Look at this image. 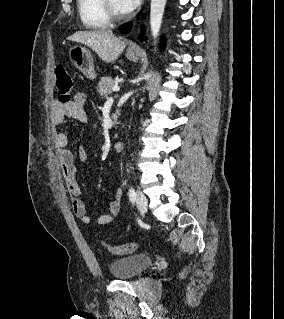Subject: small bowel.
I'll use <instances>...</instances> for the list:
<instances>
[{
    "mask_svg": "<svg viewBox=\"0 0 284 319\" xmlns=\"http://www.w3.org/2000/svg\"><path fill=\"white\" fill-rule=\"evenodd\" d=\"M86 97L82 93H77L68 104L54 102L51 109V121L54 127V142L57 147V157L60 168L65 179L68 192L72 198V210L82 223L89 224L92 218L88 215L86 205L80 197V188L76 181V166L71 151L67 148L68 136L63 128L65 119L70 118L78 122L85 123L88 119L85 110ZM78 160L86 163L88 160L87 151L84 148L78 150ZM123 191L117 188L113 199L109 203L108 211L99 215L94 222L99 225H107L114 221L121 209Z\"/></svg>",
    "mask_w": 284,
    "mask_h": 319,
    "instance_id": "small-bowel-1",
    "label": "small bowel"
}]
</instances>
